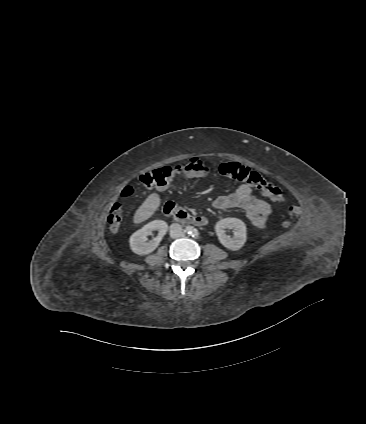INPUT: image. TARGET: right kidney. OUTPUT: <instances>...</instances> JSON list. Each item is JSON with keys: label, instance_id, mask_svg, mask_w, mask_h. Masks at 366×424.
<instances>
[{"label": "right kidney", "instance_id": "1", "mask_svg": "<svg viewBox=\"0 0 366 424\" xmlns=\"http://www.w3.org/2000/svg\"><path fill=\"white\" fill-rule=\"evenodd\" d=\"M168 225L163 220H154L140 230L133 233L130 237V248L138 255H147L153 252L161 242L162 238L166 234ZM157 230L158 235L151 241H146L147 236Z\"/></svg>", "mask_w": 366, "mask_h": 424}]
</instances>
